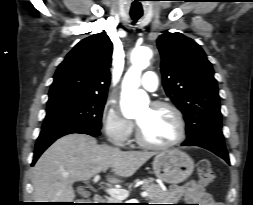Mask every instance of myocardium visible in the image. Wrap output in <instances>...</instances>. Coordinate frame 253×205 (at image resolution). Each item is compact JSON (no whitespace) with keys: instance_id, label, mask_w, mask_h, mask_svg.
<instances>
[{"instance_id":"obj_1","label":"myocardium","mask_w":253,"mask_h":205,"mask_svg":"<svg viewBox=\"0 0 253 205\" xmlns=\"http://www.w3.org/2000/svg\"><path fill=\"white\" fill-rule=\"evenodd\" d=\"M150 106L153 108L169 109L174 114V116L176 118V121L178 124V134H177L176 138L174 140H172L171 142H168L165 144L152 143L143 137V135L140 131V128H139L138 124L136 123L135 138H136V141L138 142V144L141 145L142 147H145L148 149H153V150L169 149V148L175 147L178 144H180L185 139V136H186V121H185V118H184L181 110L173 103L168 102V101H162V100L154 101L150 104Z\"/></svg>"}]
</instances>
